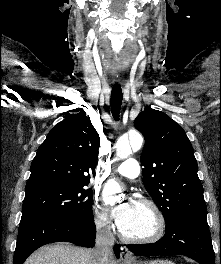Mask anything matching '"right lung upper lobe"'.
<instances>
[{"instance_id":"right-lung-upper-lobe-1","label":"right lung upper lobe","mask_w":221,"mask_h":264,"mask_svg":"<svg viewBox=\"0 0 221 264\" xmlns=\"http://www.w3.org/2000/svg\"><path fill=\"white\" fill-rule=\"evenodd\" d=\"M83 113L68 116L49 132L31 163L25 190L53 183L88 185L89 173L95 172L100 137Z\"/></svg>"}]
</instances>
